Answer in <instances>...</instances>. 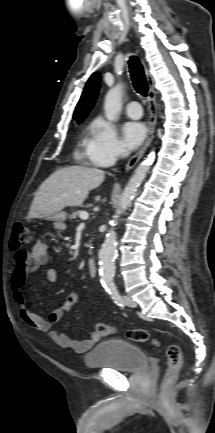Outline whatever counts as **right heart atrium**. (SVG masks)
Segmentation results:
<instances>
[{"mask_svg": "<svg viewBox=\"0 0 215 433\" xmlns=\"http://www.w3.org/2000/svg\"><path fill=\"white\" fill-rule=\"evenodd\" d=\"M125 154L115 127L102 117H97L91 127V135L86 146L88 159L96 166L113 165Z\"/></svg>", "mask_w": 215, "mask_h": 433, "instance_id": "right-heart-atrium-1", "label": "right heart atrium"}]
</instances>
